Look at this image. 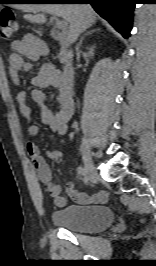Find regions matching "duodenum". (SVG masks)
<instances>
[{"mask_svg": "<svg viewBox=\"0 0 156 266\" xmlns=\"http://www.w3.org/2000/svg\"><path fill=\"white\" fill-rule=\"evenodd\" d=\"M51 37L59 42L62 49H66L69 45V39L66 37L65 34L58 30H52L51 31ZM73 80H74V71L71 65H66L62 72L60 73V81L62 86L66 89L71 91L73 86Z\"/></svg>", "mask_w": 156, "mask_h": 266, "instance_id": "1", "label": "duodenum"}]
</instances>
